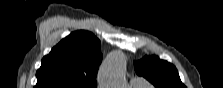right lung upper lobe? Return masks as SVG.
<instances>
[{"label":"right lung upper lobe","mask_w":223,"mask_h":88,"mask_svg":"<svg viewBox=\"0 0 223 88\" xmlns=\"http://www.w3.org/2000/svg\"><path fill=\"white\" fill-rule=\"evenodd\" d=\"M101 61L98 38L88 31L72 32L42 59L35 88H96Z\"/></svg>","instance_id":"1"}]
</instances>
